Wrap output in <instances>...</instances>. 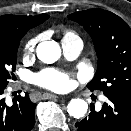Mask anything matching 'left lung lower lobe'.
I'll use <instances>...</instances> for the list:
<instances>
[{
  "label": "left lung lower lobe",
  "mask_w": 131,
  "mask_h": 131,
  "mask_svg": "<svg viewBox=\"0 0 131 131\" xmlns=\"http://www.w3.org/2000/svg\"><path fill=\"white\" fill-rule=\"evenodd\" d=\"M105 96L108 103L99 112L91 106L89 116L75 124L76 131H131V99Z\"/></svg>",
  "instance_id": "left-lung-lower-lobe-1"
}]
</instances>
